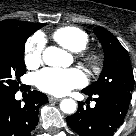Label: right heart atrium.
Masks as SVG:
<instances>
[{
	"label": "right heart atrium",
	"mask_w": 136,
	"mask_h": 136,
	"mask_svg": "<svg viewBox=\"0 0 136 136\" xmlns=\"http://www.w3.org/2000/svg\"><path fill=\"white\" fill-rule=\"evenodd\" d=\"M45 46L44 37L37 33L31 36L25 45V56L24 61L27 67H37L42 58V52Z\"/></svg>",
	"instance_id": "d8ad5b80"
}]
</instances>
